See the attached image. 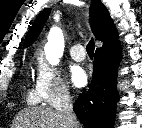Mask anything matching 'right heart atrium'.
I'll list each match as a JSON object with an SVG mask.
<instances>
[{
    "mask_svg": "<svg viewBox=\"0 0 142 128\" xmlns=\"http://www.w3.org/2000/svg\"><path fill=\"white\" fill-rule=\"evenodd\" d=\"M35 92L39 101L55 105L70 98L69 87L60 72L38 58L35 72Z\"/></svg>",
    "mask_w": 142,
    "mask_h": 128,
    "instance_id": "obj_1",
    "label": "right heart atrium"
}]
</instances>
